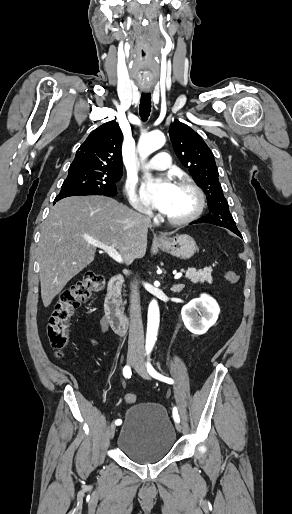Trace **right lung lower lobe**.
<instances>
[{
    "mask_svg": "<svg viewBox=\"0 0 292 514\" xmlns=\"http://www.w3.org/2000/svg\"><path fill=\"white\" fill-rule=\"evenodd\" d=\"M61 199H63V198H61ZM59 200H60V199H58V200H56V201H59ZM54 204H55V202H54Z\"/></svg>",
    "mask_w": 292,
    "mask_h": 514,
    "instance_id": "98d812e1",
    "label": "right lung lower lobe"
}]
</instances>
